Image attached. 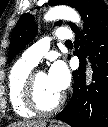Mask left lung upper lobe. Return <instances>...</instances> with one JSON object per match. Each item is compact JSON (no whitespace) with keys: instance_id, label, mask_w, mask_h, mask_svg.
<instances>
[{"instance_id":"1","label":"left lung upper lobe","mask_w":108,"mask_h":127,"mask_svg":"<svg viewBox=\"0 0 108 127\" xmlns=\"http://www.w3.org/2000/svg\"><path fill=\"white\" fill-rule=\"evenodd\" d=\"M84 0H49V5H69L76 8L79 11L80 5ZM62 22H56V25H60ZM71 29L75 27V24L69 23ZM37 27L34 22V17L29 14H23L18 20L12 35L8 52V61L10 62L35 36Z\"/></svg>"}]
</instances>
